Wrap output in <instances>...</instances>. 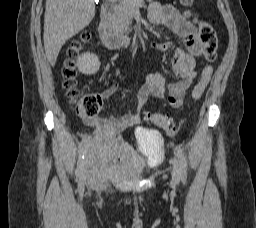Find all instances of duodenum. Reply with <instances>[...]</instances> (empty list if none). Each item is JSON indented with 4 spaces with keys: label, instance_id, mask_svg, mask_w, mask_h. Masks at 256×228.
<instances>
[{
    "label": "duodenum",
    "instance_id": "obj_1",
    "mask_svg": "<svg viewBox=\"0 0 256 228\" xmlns=\"http://www.w3.org/2000/svg\"><path fill=\"white\" fill-rule=\"evenodd\" d=\"M115 13V5L105 2L101 9V18L98 26V35L102 43L110 49H120L130 43V38L120 34L113 28L112 18Z\"/></svg>",
    "mask_w": 256,
    "mask_h": 228
}]
</instances>
